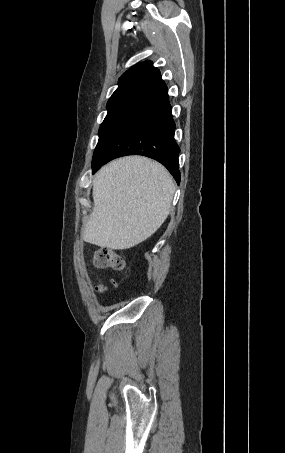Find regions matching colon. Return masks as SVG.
I'll return each mask as SVG.
<instances>
[{
    "instance_id": "obj_1",
    "label": "colon",
    "mask_w": 285,
    "mask_h": 453,
    "mask_svg": "<svg viewBox=\"0 0 285 453\" xmlns=\"http://www.w3.org/2000/svg\"><path fill=\"white\" fill-rule=\"evenodd\" d=\"M93 264L97 268H110L116 271H123L126 268L125 259L108 248H99L93 253Z\"/></svg>"
}]
</instances>
